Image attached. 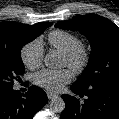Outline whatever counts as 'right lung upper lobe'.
I'll return each instance as SVG.
<instances>
[{
    "label": "right lung upper lobe",
    "mask_w": 119,
    "mask_h": 119,
    "mask_svg": "<svg viewBox=\"0 0 119 119\" xmlns=\"http://www.w3.org/2000/svg\"><path fill=\"white\" fill-rule=\"evenodd\" d=\"M46 23L47 22H41V23L33 25V26H40V25H43ZM50 24L52 25V23H50ZM21 25H26V24H20V23H16L13 21L0 23V38L3 37L10 29L16 28ZM26 26H29V25H26Z\"/></svg>",
    "instance_id": "obj_1"
}]
</instances>
